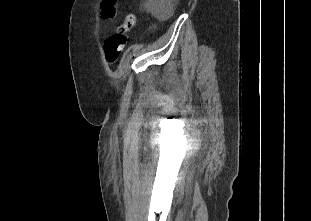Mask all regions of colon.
<instances>
[{
	"mask_svg": "<svg viewBox=\"0 0 311 221\" xmlns=\"http://www.w3.org/2000/svg\"><path fill=\"white\" fill-rule=\"evenodd\" d=\"M119 0H106L102 10H99V17L103 20H110L114 16L117 9V4ZM135 22V17L133 15H128L125 17L124 21L119 25L118 30H125L126 28L133 27ZM127 41V37H115L109 36L104 43V55L109 63H114L122 52Z\"/></svg>",
	"mask_w": 311,
	"mask_h": 221,
	"instance_id": "obj_1",
	"label": "colon"
}]
</instances>
